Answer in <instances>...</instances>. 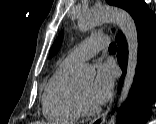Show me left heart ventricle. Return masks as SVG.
<instances>
[{"label":"left heart ventricle","mask_w":156,"mask_h":124,"mask_svg":"<svg viewBox=\"0 0 156 124\" xmlns=\"http://www.w3.org/2000/svg\"><path fill=\"white\" fill-rule=\"evenodd\" d=\"M91 87H92V81L88 80L85 81L83 83H81L79 85V88L82 90V92L85 94V96L88 98V100L92 103V104H96L92 97H91Z\"/></svg>","instance_id":"1"}]
</instances>
